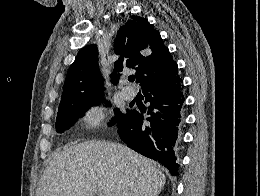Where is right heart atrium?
<instances>
[{
	"instance_id": "1",
	"label": "right heart atrium",
	"mask_w": 260,
	"mask_h": 196,
	"mask_svg": "<svg viewBox=\"0 0 260 196\" xmlns=\"http://www.w3.org/2000/svg\"><path fill=\"white\" fill-rule=\"evenodd\" d=\"M101 118H102V110L100 109V107L98 105L94 104V105L89 106L85 110L82 120L90 126H96L99 124ZM86 143H104V142L88 141Z\"/></svg>"
}]
</instances>
